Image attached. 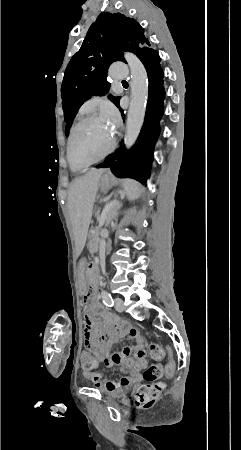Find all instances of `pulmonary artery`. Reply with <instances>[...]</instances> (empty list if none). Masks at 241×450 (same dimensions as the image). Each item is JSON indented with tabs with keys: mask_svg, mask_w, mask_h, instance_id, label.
I'll list each match as a JSON object with an SVG mask.
<instances>
[{
	"mask_svg": "<svg viewBox=\"0 0 241 450\" xmlns=\"http://www.w3.org/2000/svg\"><path fill=\"white\" fill-rule=\"evenodd\" d=\"M107 78H118L119 80H128L130 73L126 71L125 64H111L110 69L106 71Z\"/></svg>",
	"mask_w": 241,
	"mask_h": 450,
	"instance_id": "pulmonary-artery-1",
	"label": "pulmonary artery"
}]
</instances>
